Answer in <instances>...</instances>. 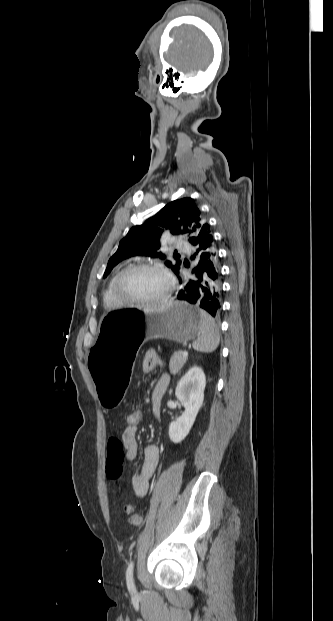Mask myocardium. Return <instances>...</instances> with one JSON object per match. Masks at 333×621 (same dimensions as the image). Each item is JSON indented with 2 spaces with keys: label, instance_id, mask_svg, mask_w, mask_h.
<instances>
[{
  "label": "myocardium",
  "instance_id": "f54148a6",
  "mask_svg": "<svg viewBox=\"0 0 333 621\" xmlns=\"http://www.w3.org/2000/svg\"><path fill=\"white\" fill-rule=\"evenodd\" d=\"M138 270H153L162 274L167 280V289L165 293L153 300H138V299H130L125 297L121 292V285L123 280L132 272ZM114 293L120 305L126 306H149V305H158L166 302L173 293L174 290V280L169 273V271L160 263H151V262H141L123 269L114 281Z\"/></svg>",
  "mask_w": 333,
  "mask_h": 621
}]
</instances>
